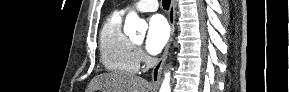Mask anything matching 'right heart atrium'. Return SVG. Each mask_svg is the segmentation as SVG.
I'll use <instances>...</instances> for the list:
<instances>
[{
	"label": "right heart atrium",
	"instance_id": "1",
	"mask_svg": "<svg viewBox=\"0 0 289 92\" xmlns=\"http://www.w3.org/2000/svg\"><path fill=\"white\" fill-rule=\"evenodd\" d=\"M136 53H137L139 61L144 59V54L140 48L136 49Z\"/></svg>",
	"mask_w": 289,
	"mask_h": 92
}]
</instances>
